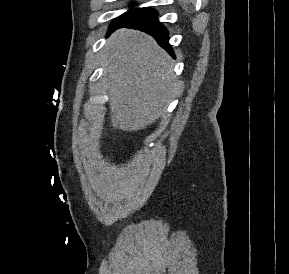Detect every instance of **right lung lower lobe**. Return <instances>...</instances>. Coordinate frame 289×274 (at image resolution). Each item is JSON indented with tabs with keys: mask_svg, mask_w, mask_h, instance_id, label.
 I'll list each match as a JSON object with an SVG mask.
<instances>
[{
	"mask_svg": "<svg viewBox=\"0 0 289 274\" xmlns=\"http://www.w3.org/2000/svg\"><path fill=\"white\" fill-rule=\"evenodd\" d=\"M157 15L158 13L156 11L149 9L120 25L118 28L128 27L144 31L152 35L161 47H163L170 55L174 56L173 49L168 41V31L161 23H159Z\"/></svg>",
	"mask_w": 289,
	"mask_h": 274,
	"instance_id": "98d812e1",
	"label": "right lung lower lobe"
}]
</instances>
